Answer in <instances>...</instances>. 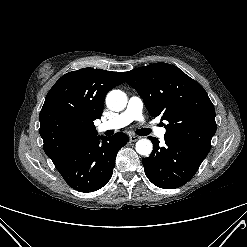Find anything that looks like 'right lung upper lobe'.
Returning <instances> with one entry per match:
<instances>
[{"label":"right lung upper lobe","mask_w":247,"mask_h":247,"mask_svg":"<svg viewBox=\"0 0 247 247\" xmlns=\"http://www.w3.org/2000/svg\"><path fill=\"white\" fill-rule=\"evenodd\" d=\"M124 83L119 72L83 68L63 75L48 92L40 112L44 151L57 165L74 147L97 136L106 94Z\"/></svg>","instance_id":"1"}]
</instances>
